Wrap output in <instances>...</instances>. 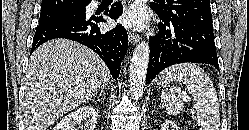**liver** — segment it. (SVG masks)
I'll use <instances>...</instances> for the list:
<instances>
[{
    "instance_id": "6515ba94",
    "label": "liver",
    "mask_w": 249,
    "mask_h": 130,
    "mask_svg": "<svg viewBox=\"0 0 249 130\" xmlns=\"http://www.w3.org/2000/svg\"><path fill=\"white\" fill-rule=\"evenodd\" d=\"M109 81L106 64L89 48L66 39L44 43L31 55L26 72L22 103L26 130H46Z\"/></svg>"
}]
</instances>
